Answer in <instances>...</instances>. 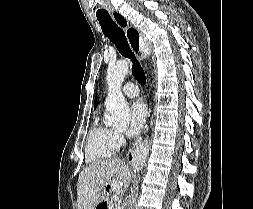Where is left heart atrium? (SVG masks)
Instances as JSON below:
<instances>
[{
	"label": "left heart atrium",
	"instance_id": "39dd6f15",
	"mask_svg": "<svg viewBox=\"0 0 253 209\" xmlns=\"http://www.w3.org/2000/svg\"><path fill=\"white\" fill-rule=\"evenodd\" d=\"M147 115V106L143 101L136 100L131 104L129 126L127 129V134L129 136H135L142 131L146 123Z\"/></svg>",
	"mask_w": 253,
	"mask_h": 209
}]
</instances>
